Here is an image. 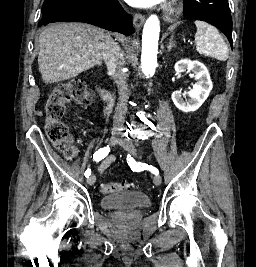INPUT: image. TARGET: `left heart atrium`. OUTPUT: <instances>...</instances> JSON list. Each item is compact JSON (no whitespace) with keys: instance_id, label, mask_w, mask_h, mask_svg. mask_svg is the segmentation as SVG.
I'll return each instance as SVG.
<instances>
[{"instance_id":"39dd6f15","label":"left heart atrium","mask_w":256,"mask_h":267,"mask_svg":"<svg viewBox=\"0 0 256 267\" xmlns=\"http://www.w3.org/2000/svg\"><path fill=\"white\" fill-rule=\"evenodd\" d=\"M147 2L151 3V4H166L167 0H146Z\"/></svg>"}]
</instances>
